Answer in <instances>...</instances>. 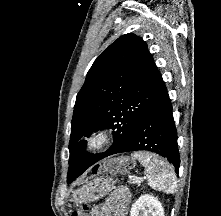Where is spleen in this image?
Segmentation results:
<instances>
[{"label":"spleen","instance_id":"obj_1","mask_svg":"<svg viewBox=\"0 0 221 216\" xmlns=\"http://www.w3.org/2000/svg\"><path fill=\"white\" fill-rule=\"evenodd\" d=\"M133 157L145 168L144 174L149 185L158 191L172 194L177 189L176 175L173 167L165 160L150 153L137 152Z\"/></svg>","mask_w":221,"mask_h":216}]
</instances>
